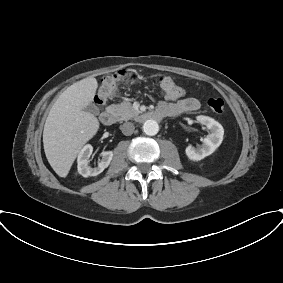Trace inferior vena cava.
Here are the masks:
<instances>
[{"mask_svg": "<svg viewBox=\"0 0 283 283\" xmlns=\"http://www.w3.org/2000/svg\"><path fill=\"white\" fill-rule=\"evenodd\" d=\"M135 129V126L133 123L131 122H125L122 126H121V131L124 135L129 136L131 134H133Z\"/></svg>", "mask_w": 283, "mask_h": 283, "instance_id": "inferior-vena-cava-1", "label": "inferior vena cava"}]
</instances>
